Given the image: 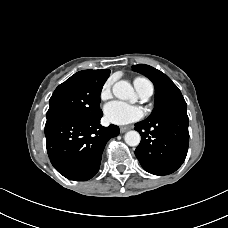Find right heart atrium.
I'll use <instances>...</instances> for the list:
<instances>
[{
	"instance_id": "obj_1",
	"label": "right heart atrium",
	"mask_w": 228,
	"mask_h": 228,
	"mask_svg": "<svg viewBox=\"0 0 228 228\" xmlns=\"http://www.w3.org/2000/svg\"><path fill=\"white\" fill-rule=\"evenodd\" d=\"M112 84L113 80L108 79L102 86L100 90V99L101 100H107L111 97L112 94Z\"/></svg>"
}]
</instances>
